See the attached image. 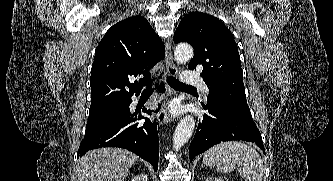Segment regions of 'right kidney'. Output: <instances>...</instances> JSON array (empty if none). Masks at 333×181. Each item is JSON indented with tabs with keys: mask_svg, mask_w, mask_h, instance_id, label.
<instances>
[{
	"mask_svg": "<svg viewBox=\"0 0 333 181\" xmlns=\"http://www.w3.org/2000/svg\"><path fill=\"white\" fill-rule=\"evenodd\" d=\"M131 181H148V178L145 174H139L134 177Z\"/></svg>",
	"mask_w": 333,
	"mask_h": 181,
	"instance_id": "obj_1",
	"label": "right kidney"
}]
</instances>
